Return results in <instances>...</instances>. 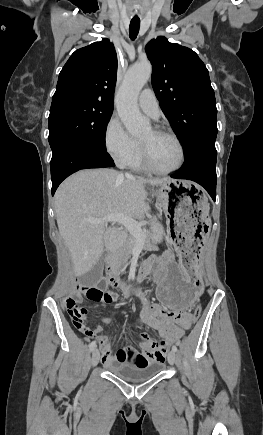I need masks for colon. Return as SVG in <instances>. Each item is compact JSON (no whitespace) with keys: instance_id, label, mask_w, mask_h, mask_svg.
<instances>
[{"instance_id":"colon-1","label":"colon","mask_w":263,"mask_h":435,"mask_svg":"<svg viewBox=\"0 0 263 435\" xmlns=\"http://www.w3.org/2000/svg\"><path fill=\"white\" fill-rule=\"evenodd\" d=\"M77 289H80L89 300L95 301V302H104V303H111L114 300V296L104 291V283L97 284V285H78ZM67 311L68 314L77 330H79L81 333L85 334L88 337H93L95 335L94 330H92L85 322L86 316H87V310L82 307L75 298H68L67 299ZM201 306L199 304L194 305L193 312L191 316L189 317V320L187 323H189V326L196 321L200 314H201ZM188 329V328H184ZM127 340L131 341L133 340V335L129 334L127 335ZM168 341L173 340L170 338Z\"/></svg>"}]
</instances>
